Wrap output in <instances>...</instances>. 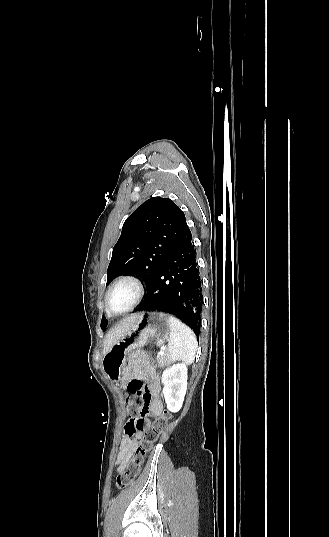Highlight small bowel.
Segmentation results:
<instances>
[{"mask_svg":"<svg viewBox=\"0 0 329 537\" xmlns=\"http://www.w3.org/2000/svg\"><path fill=\"white\" fill-rule=\"evenodd\" d=\"M127 379L129 381L122 396L124 398L137 396L145 390L150 397L146 406V413L149 414L148 421L159 418L162 412V403L159 399L160 383L156 367L147 355L134 353L131 356L127 366ZM139 437L140 432L128 423L116 457L115 467L118 473L123 472L135 456Z\"/></svg>","mask_w":329,"mask_h":537,"instance_id":"c3829d8e","label":"small bowel"}]
</instances>
